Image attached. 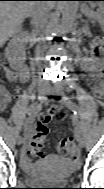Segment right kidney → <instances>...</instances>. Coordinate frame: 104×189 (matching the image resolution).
<instances>
[{
  "mask_svg": "<svg viewBox=\"0 0 104 189\" xmlns=\"http://www.w3.org/2000/svg\"><path fill=\"white\" fill-rule=\"evenodd\" d=\"M27 41V32H20L9 41L8 46L5 49V57L11 68L18 69L24 64L26 59L25 47Z\"/></svg>",
  "mask_w": 104,
  "mask_h": 189,
  "instance_id": "obj_1",
  "label": "right kidney"
}]
</instances>
